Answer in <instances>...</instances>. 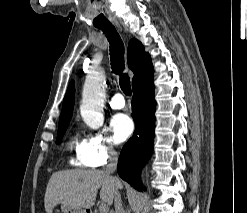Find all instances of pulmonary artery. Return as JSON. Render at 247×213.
<instances>
[{"mask_svg":"<svg viewBox=\"0 0 247 213\" xmlns=\"http://www.w3.org/2000/svg\"><path fill=\"white\" fill-rule=\"evenodd\" d=\"M109 106L116 110L123 109L125 107V100L123 95L120 93L115 94L109 101Z\"/></svg>","mask_w":247,"mask_h":213,"instance_id":"pulmonary-artery-1","label":"pulmonary artery"}]
</instances>
